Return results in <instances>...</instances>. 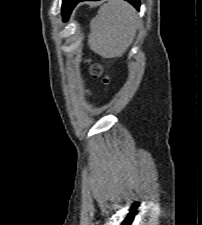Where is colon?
Here are the masks:
<instances>
[{"instance_id":"colon-1","label":"colon","mask_w":202,"mask_h":225,"mask_svg":"<svg viewBox=\"0 0 202 225\" xmlns=\"http://www.w3.org/2000/svg\"><path fill=\"white\" fill-rule=\"evenodd\" d=\"M91 73L93 76L95 77H103V82L108 85L110 84L111 80H112V74L111 73H104L103 68L98 65V64H93L91 66Z\"/></svg>"}]
</instances>
